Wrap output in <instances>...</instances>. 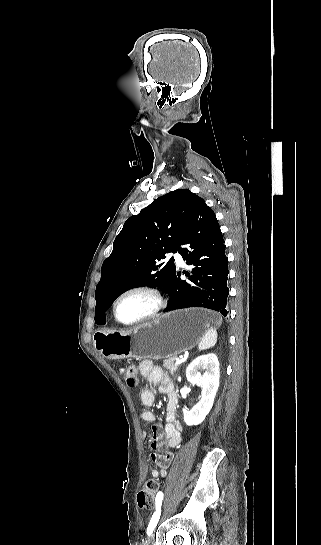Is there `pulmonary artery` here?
I'll return each mask as SVG.
<instances>
[{
  "instance_id": "1",
  "label": "pulmonary artery",
  "mask_w": 321,
  "mask_h": 545,
  "mask_svg": "<svg viewBox=\"0 0 321 545\" xmlns=\"http://www.w3.org/2000/svg\"><path fill=\"white\" fill-rule=\"evenodd\" d=\"M174 258H175V261H176V263H177L178 265H180V266H184V265H185V262H184V260H183V258H182L181 255L176 254V255L174 256Z\"/></svg>"
}]
</instances>
